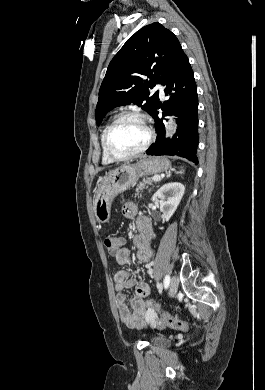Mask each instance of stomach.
<instances>
[{
	"mask_svg": "<svg viewBox=\"0 0 265 390\" xmlns=\"http://www.w3.org/2000/svg\"><path fill=\"white\" fill-rule=\"evenodd\" d=\"M170 168L165 157H149L134 165H125L109 172L99 184L93 201V210L99 223L110 219V209L114 198L134 186L140 176L164 172Z\"/></svg>",
	"mask_w": 265,
	"mask_h": 390,
	"instance_id": "stomach-1",
	"label": "stomach"
}]
</instances>
